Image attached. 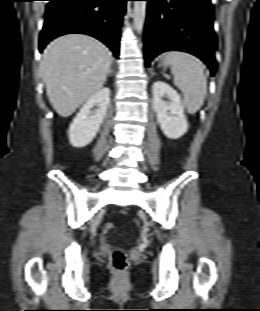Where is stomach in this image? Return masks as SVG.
<instances>
[{
	"label": "stomach",
	"instance_id": "stomach-1",
	"mask_svg": "<svg viewBox=\"0 0 260 311\" xmlns=\"http://www.w3.org/2000/svg\"><path fill=\"white\" fill-rule=\"evenodd\" d=\"M159 65H160V66H163V67H168L170 64H168V63L165 61V57H162Z\"/></svg>",
	"mask_w": 260,
	"mask_h": 311
}]
</instances>
